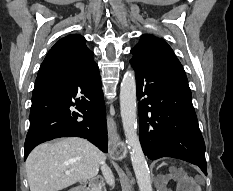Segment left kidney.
Here are the masks:
<instances>
[{
  "label": "left kidney",
  "instance_id": "1",
  "mask_svg": "<svg viewBox=\"0 0 233 191\" xmlns=\"http://www.w3.org/2000/svg\"><path fill=\"white\" fill-rule=\"evenodd\" d=\"M170 178H174L173 176H171V175H168L167 177H166V181L167 180H169ZM178 180V184H179V186L182 184V179H177ZM169 191V190H168Z\"/></svg>",
  "mask_w": 233,
  "mask_h": 191
}]
</instances>
